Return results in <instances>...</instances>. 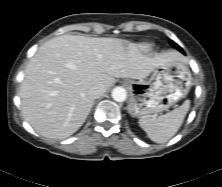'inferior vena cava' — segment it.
I'll use <instances>...</instances> for the list:
<instances>
[{
  "label": "inferior vena cava",
  "instance_id": "1",
  "mask_svg": "<svg viewBox=\"0 0 222 187\" xmlns=\"http://www.w3.org/2000/svg\"><path fill=\"white\" fill-rule=\"evenodd\" d=\"M106 91V87L103 84H96L89 89V94L94 98H98Z\"/></svg>",
  "mask_w": 222,
  "mask_h": 187
}]
</instances>
